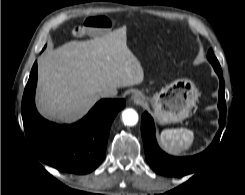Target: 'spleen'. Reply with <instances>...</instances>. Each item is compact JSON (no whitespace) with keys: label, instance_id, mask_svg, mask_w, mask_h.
Wrapping results in <instances>:
<instances>
[{"label":"spleen","instance_id":"obj_1","mask_svg":"<svg viewBox=\"0 0 245 195\" xmlns=\"http://www.w3.org/2000/svg\"><path fill=\"white\" fill-rule=\"evenodd\" d=\"M194 140V133L186 128L165 129L160 134V142L169 153L179 155L188 150Z\"/></svg>","mask_w":245,"mask_h":195}]
</instances>
